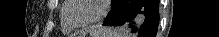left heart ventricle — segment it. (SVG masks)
<instances>
[{
    "instance_id": "obj_1",
    "label": "left heart ventricle",
    "mask_w": 219,
    "mask_h": 37,
    "mask_svg": "<svg viewBox=\"0 0 219 37\" xmlns=\"http://www.w3.org/2000/svg\"><path fill=\"white\" fill-rule=\"evenodd\" d=\"M100 9L98 0H74V6L69 10V20L83 23L94 18Z\"/></svg>"
}]
</instances>
